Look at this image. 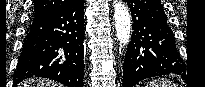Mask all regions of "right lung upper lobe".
Here are the masks:
<instances>
[{
    "mask_svg": "<svg viewBox=\"0 0 205 87\" xmlns=\"http://www.w3.org/2000/svg\"><path fill=\"white\" fill-rule=\"evenodd\" d=\"M77 0H34L33 17L43 16L62 10Z\"/></svg>",
    "mask_w": 205,
    "mask_h": 87,
    "instance_id": "right-lung-upper-lobe-1",
    "label": "right lung upper lobe"
}]
</instances>
